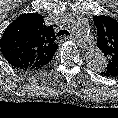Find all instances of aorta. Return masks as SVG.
<instances>
[{
  "instance_id": "762f6f07",
  "label": "aorta",
  "mask_w": 118,
  "mask_h": 118,
  "mask_svg": "<svg viewBox=\"0 0 118 118\" xmlns=\"http://www.w3.org/2000/svg\"><path fill=\"white\" fill-rule=\"evenodd\" d=\"M68 25L72 32L81 40L90 41L93 39L89 24L81 17L71 15L68 18ZM87 65L95 71L101 72L106 68L107 61L103 52L99 49H92L86 55Z\"/></svg>"
}]
</instances>
